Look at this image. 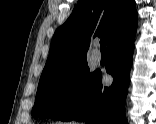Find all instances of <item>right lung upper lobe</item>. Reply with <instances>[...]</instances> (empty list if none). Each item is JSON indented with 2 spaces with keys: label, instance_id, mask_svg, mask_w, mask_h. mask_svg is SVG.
<instances>
[{
  "label": "right lung upper lobe",
  "instance_id": "obj_1",
  "mask_svg": "<svg viewBox=\"0 0 156 124\" xmlns=\"http://www.w3.org/2000/svg\"><path fill=\"white\" fill-rule=\"evenodd\" d=\"M137 25L134 0H78L73 12L54 33L40 79L87 62L92 36L107 38V47Z\"/></svg>",
  "mask_w": 156,
  "mask_h": 124
}]
</instances>
